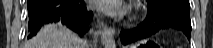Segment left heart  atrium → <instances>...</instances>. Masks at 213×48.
<instances>
[{
	"mask_svg": "<svg viewBox=\"0 0 213 48\" xmlns=\"http://www.w3.org/2000/svg\"><path fill=\"white\" fill-rule=\"evenodd\" d=\"M92 6L107 15H122L126 11L125 3L121 0H95Z\"/></svg>",
	"mask_w": 213,
	"mask_h": 48,
	"instance_id": "1",
	"label": "left heart atrium"
}]
</instances>
